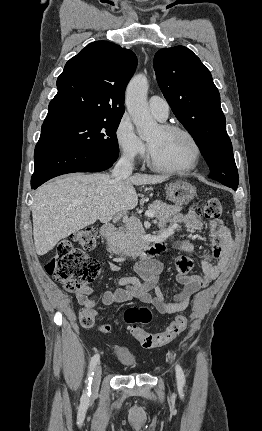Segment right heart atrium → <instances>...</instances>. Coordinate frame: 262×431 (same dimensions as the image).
<instances>
[{"label": "right heart atrium", "instance_id": "right-heart-atrium-1", "mask_svg": "<svg viewBox=\"0 0 262 431\" xmlns=\"http://www.w3.org/2000/svg\"><path fill=\"white\" fill-rule=\"evenodd\" d=\"M115 138L121 154L128 160L141 159L146 153V145L137 135L131 120L123 116L116 127Z\"/></svg>", "mask_w": 262, "mask_h": 431}]
</instances>
